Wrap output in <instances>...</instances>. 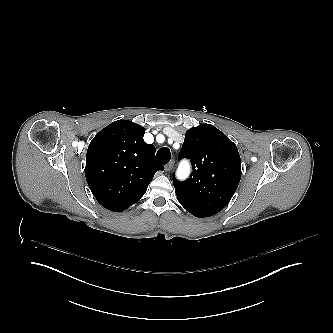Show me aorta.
I'll use <instances>...</instances> for the list:
<instances>
[{"mask_svg":"<svg viewBox=\"0 0 333 333\" xmlns=\"http://www.w3.org/2000/svg\"><path fill=\"white\" fill-rule=\"evenodd\" d=\"M187 172H188V170L180 169V170H178V176L180 178H185L187 176Z\"/></svg>","mask_w":333,"mask_h":333,"instance_id":"aorta-1","label":"aorta"}]
</instances>
